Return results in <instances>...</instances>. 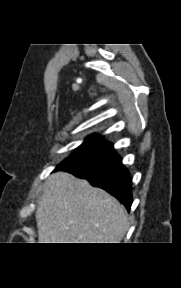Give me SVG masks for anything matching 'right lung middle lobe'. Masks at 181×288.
Here are the masks:
<instances>
[{
    "label": "right lung middle lobe",
    "mask_w": 181,
    "mask_h": 288,
    "mask_svg": "<svg viewBox=\"0 0 181 288\" xmlns=\"http://www.w3.org/2000/svg\"><path fill=\"white\" fill-rule=\"evenodd\" d=\"M113 158H115L114 153L83 143L69 158L59 164L57 169L78 163L98 162Z\"/></svg>",
    "instance_id": "right-lung-middle-lobe-1"
}]
</instances>
